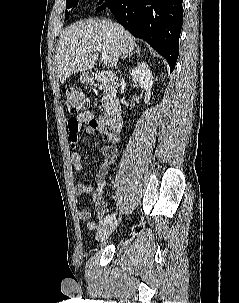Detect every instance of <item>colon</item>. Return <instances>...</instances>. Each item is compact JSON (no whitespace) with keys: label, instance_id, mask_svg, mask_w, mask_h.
Segmentation results:
<instances>
[{"label":"colon","instance_id":"obj_1","mask_svg":"<svg viewBox=\"0 0 239 303\" xmlns=\"http://www.w3.org/2000/svg\"><path fill=\"white\" fill-rule=\"evenodd\" d=\"M89 101L85 94L78 88H69L66 91V108L70 114L87 110ZM73 130L76 125H72Z\"/></svg>","mask_w":239,"mask_h":303}]
</instances>
